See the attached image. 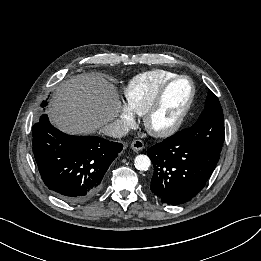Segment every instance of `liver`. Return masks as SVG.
I'll return each instance as SVG.
<instances>
[{
	"label": "liver",
	"instance_id": "6515ba94",
	"mask_svg": "<svg viewBox=\"0 0 261 261\" xmlns=\"http://www.w3.org/2000/svg\"><path fill=\"white\" fill-rule=\"evenodd\" d=\"M115 88L103 76L84 73L63 81L49 104L51 122L69 134H92L118 115Z\"/></svg>",
	"mask_w": 261,
	"mask_h": 261
}]
</instances>
